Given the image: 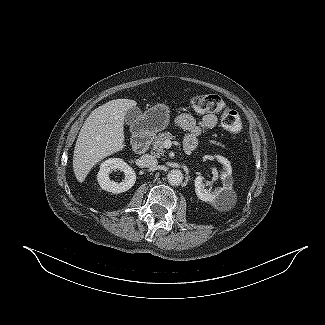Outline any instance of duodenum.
Masks as SVG:
<instances>
[{"instance_id": "duodenum-1", "label": "duodenum", "mask_w": 325, "mask_h": 325, "mask_svg": "<svg viewBox=\"0 0 325 325\" xmlns=\"http://www.w3.org/2000/svg\"><path fill=\"white\" fill-rule=\"evenodd\" d=\"M152 135L148 132H143L137 134L133 138V149L137 153H144L149 145V142L151 140ZM186 152H190L193 149L192 148H185Z\"/></svg>"}]
</instances>
